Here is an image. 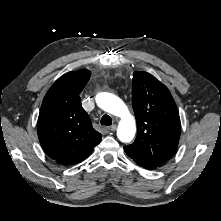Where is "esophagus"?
<instances>
[{
	"label": "esophagus",
	"mask_w": 221,
	"mask_h": 221,
	"mask_svg": "<svg viewBox=\"0 0 221 221\" xmlns=\"http://www.w3.org/2000/svg\"><path fill=\"white\" fill-rule=\"evenodd\" d=\"M107 129L109 131H115L117 129V126L116 125H112V126L107 127Z\"/></svg>",
	"instance_id": "esophagus-1"
}]
</instances>
